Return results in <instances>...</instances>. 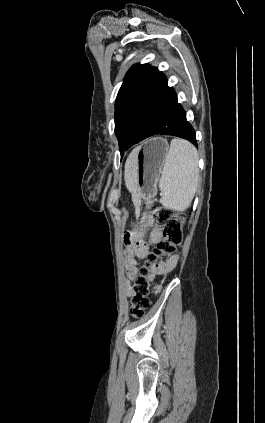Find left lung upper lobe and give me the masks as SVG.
Masks as SVG:
<instances>
[{"mask_svg":"<svg viewBox=\"0 0 265 423\" xmlns=\"http://www.w3.org/2000/svg\"><path fill=\"white\" fill-rule=\"evenodd\" d=\"M150 69L151 66L149 64L133 65L127 72L123 84L119 89L115 103V133L119 141L121 155L126 123L134 98Z\"/></svg>","mask_w":265,"mask_h":423,"instance_id":"1","label":"left lung upper lobe"}]
</instances>
